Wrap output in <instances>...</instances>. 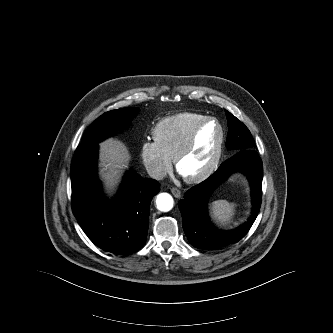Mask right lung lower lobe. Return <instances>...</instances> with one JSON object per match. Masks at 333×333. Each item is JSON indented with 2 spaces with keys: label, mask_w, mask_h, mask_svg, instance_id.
Returning a JSON list of instances; mask_svg holds the SVG:
<instances>
[{
  "label": "right lung lower lobe",
  "mask_w": 333,
  "mask_h": 333,
  "mask_svg": "<svg viewBox=\"0 0 333 333\" xmlns=\"http://www.w3.org/2000/svg\"><path fill=\"white\" fill-rule=\"evenodd\" d=\"M98 144L80 145L71 164L72 209L89 239L104 251L128 254L145 243L149 207L160 184L128 171L114 201L102 195L97 180Z\"/></svg>",
  "instance_id": "obj_1"
}]
</instances>
